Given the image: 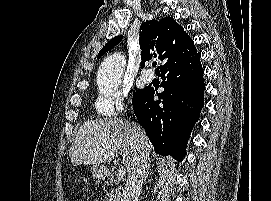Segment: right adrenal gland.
Listing matches in <instances>:
<instances>
[{
  "label": "right adrenal gland",
  "instance_id": "2a0ac1e0",
  "mask_svg": "<svg viewBox=\"0 0 271 201\" xmlns=\"http://www.w3.org/2000/svg\"><path fill=\"white\" fill-rule=\"evenodd\" d=\"M150 166H151V162L148 164V168H147V171H146V175H145L144 181H146V179L148 177V174H149V171H150Z\"/></svg>",
  "mask_w": 271,
  "mask_h": 201
}]
</instances>
